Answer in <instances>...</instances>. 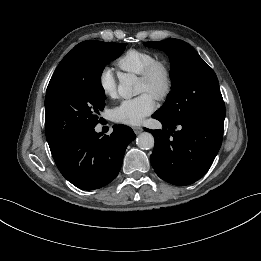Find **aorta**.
<instances>
[{
  "mask_svg": "<svg viewBox=\"0 0 261 261\" xmlns=\"http://www.w3.org/2000/svg\"><path fill=\"white\" fill-rule=\"evenodd\" d=\"M118 92L123 98H131L139 94L138 78L134 74H123L119 80ZM154 137L149 132H143L138 135L136 144L140 149L148 150L154 146Z\"/></svg>",
  "mask_w": 261,
  "mask_h": 261,
  "instance_id": "762f6f07",
  "label": "aorta"
}]
</instances>
